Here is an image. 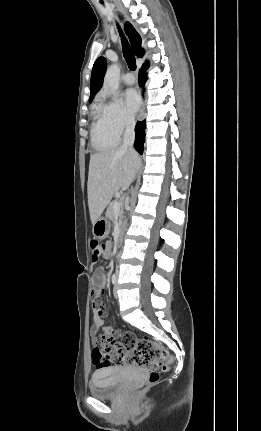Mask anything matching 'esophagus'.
Here are the masks:
<instances>
[{
	"label": "esophagus",
	"mask_w": 261,
	"mask_h": 431,
	"mask_svg": "<svg viewBox=\"0 0 261 431\" xmlns=\"http://www.w3.org/2000/svg\"><path fill=\"white\" fill-rule=\"evenodd\" d=\"M144 116H145V109H144V104L141 101V108H140V112L138 114V120L141 121L144 118Z\"/></svg>",
	"instance_id": "obj_1"
}]
</instances>
